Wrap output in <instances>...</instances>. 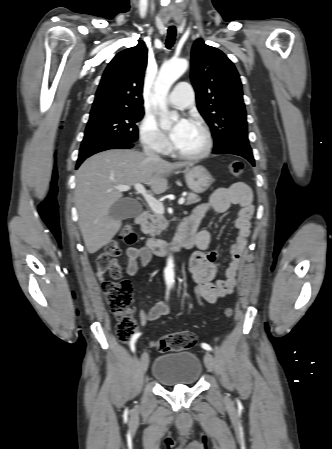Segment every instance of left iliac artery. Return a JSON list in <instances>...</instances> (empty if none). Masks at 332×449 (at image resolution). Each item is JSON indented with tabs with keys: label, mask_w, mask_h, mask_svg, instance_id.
<instances>
[{
	"label": "left iliac artery",
	"mask_w": 332,
	"mask_h": 449,
	"mask_svg": "<svg viewBox=\"0 0 332 449\" xmlns=\"http://www.w3.org/2000/svg\"><path fill=\"white\" fill-rule=\"evenodd\" d=\"M201 346L205 350L212 351L211 346L209 344H207V343H202Z\"/></svg>",
	"instance_id": "obj_1"
}]
</instances>
